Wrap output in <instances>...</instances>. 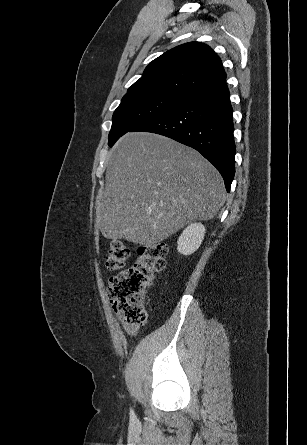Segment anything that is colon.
Listing matches in <instances>:
<instances>
[{
    "label": "colon",
    "instance_id": "colon-1",
    "mask_svg": "<svg viewBox=\"0 0 307 445\" xmlns=\"http://www.w3.org/2000/svg\"><path fill=\"white\" fill-rule=\"evenodd\" d=\"M166 253L164 244L142 246L138 249L135 263L123 269L130 250L122 240L111 241L105 265L110 271H121L110 278L107 294L113 308L124 321L141 324L146 320L145 301L148 290L156 275L165 267Z\"/></svg>",
    "mask_w": 307,
    "mask_h": 445
}]
</instances>
